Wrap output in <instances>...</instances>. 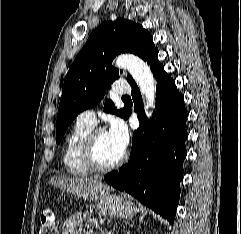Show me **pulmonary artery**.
I'll return each mask as SVG.
<instances>
[{"label":"pulmonary artery","instance_id":"1","mask_svg":"<svg viewBox=\"0 0 241 234\" xmlns=\"http://www.w3.org/2000/svg\"><path fill=\"white\" fill-rule=\"evenodd\" d=\"M113 92L117 95H127L130 87L126 83H117L113 86ZM78 121L94 126L96 124V114L93 109L82 111L77 118Z\"/></svg>","mask_w":241,"mask_h":234}]
</instances>
